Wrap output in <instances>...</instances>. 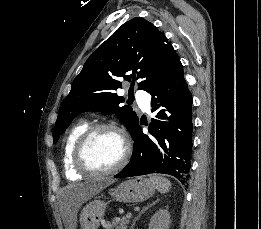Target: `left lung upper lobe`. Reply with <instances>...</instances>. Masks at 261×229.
Returning <instances> with one entry per match:
<instances>
[{"label":"left lung upper lobe","mask_w":261,"mask_h":229,"mask_svg":"<svg viewBox=\"0 0 261 229\" xmlns=\"http://www.w3.org/2000/svg\"><path fill=\"white\" fill-rule=\"evenodd\" d=\"M179 63L172 45L152 23L139 17L124 23L91 54L74 79L60 105L53 142L57 143L75 116L84 111L115 113L132 135L138 117L130 106H118L125 99L115 93L122 87L115 78L131 82L130 92L135 80L140 79L138 89L149 92Z\"/></svg>","instance_id":"5c2ea615"}]
</instances>
